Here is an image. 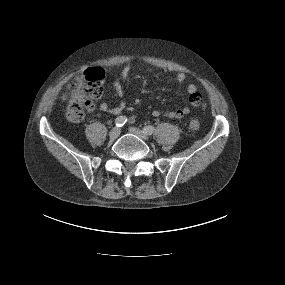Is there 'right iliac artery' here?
<instances>
[{
    "mask_svg": "<svg viewBox=\"0 0 285 285\" xmlns=\"http://www.w3.org/2000/svg\"><path fill=\"white\" fill-rule=\"evenodd\" d=\"M127 122V118L125 116H119L115 120V124L117 127H122Z\"/></svg>",
    "mask_w": 285,
    "mask_h": 285,
    "instance_id": "right-iliac-artery-1",
    "label": "right iliac artery"
}]
</instances>
